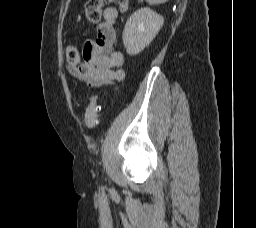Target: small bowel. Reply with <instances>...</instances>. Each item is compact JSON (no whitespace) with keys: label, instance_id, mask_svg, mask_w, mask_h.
<instances>
[{"label":"small bowel","instance_id":"c3829d8e","mask_svg":"<svg viewBox=\"0 0 256 228\" xmlns=\"http://www.w3.org/2000/svg\"><path fill=\"white\" fill-rule=\"evenodd\" d=\"M117 17L115 8H106L96 38L87 40L83 46L81 62L75 66L69 64L72 75L90 87L113 85L125 77L121 68L124 55L114 50Z\"/></svg>","mask_w":256,"mask_h":228}]
</instances>
